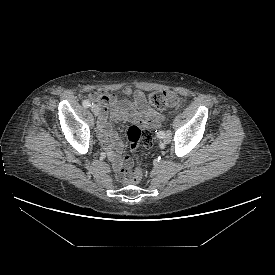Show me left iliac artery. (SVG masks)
Returning <instances> with one entry per match:
<instances>
[{
    "label": "left iliac artery",
    "instance_id": "1",
    "mask_svg": "<svg viewBox=\"0 0 275 275\" xmlns=\"http://www.w3.org/2000/svg\"><path fill=\"white\" fill-rule=\"evenodd\" d=\"M164 135H165V132H164V131H158V132H157V137H158V138H163Z\"/></svg>",
    "mask_w": 275,
    "mask_h": 275
}]
</instances>
